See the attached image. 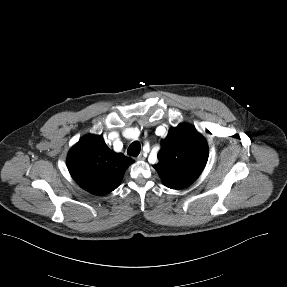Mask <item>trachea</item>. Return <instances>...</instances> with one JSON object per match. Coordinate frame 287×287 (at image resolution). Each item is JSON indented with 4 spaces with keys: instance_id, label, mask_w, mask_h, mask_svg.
I'll return each instance as SVG.
<instances>
[{
    "instance_id": "1",
    "label": "trachea",
    "mask_w": 287,
    "mask_h": 287,
    "mask_svg": "<svg viewBox=\"0 0 287 287\" xmlns=\"http://www.w3.org/2000/svg\"><path fill=\"white\" fill-rule=\"evenodd\" d=\"M141 150L139 141H134L127 149V154L130 156H138Z\"/></svg>"
}]
</instances>
